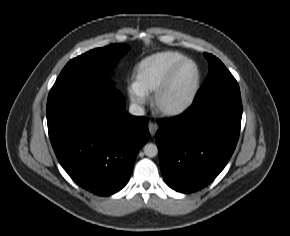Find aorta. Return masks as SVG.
<instances>
[{"label": "aorta", "mask_w": 290, "mask_h": 236, "mask_svg": "<svg viewBox=\"0 0 290 236\" xmlns=\"http://www.w3.org/2000/svg\"><path fill=\"white\" fill-rule=\"evenodd\" d=\"M144 153L148 157H155L158 154V148L155 144L153 143H147L144 146Z\"/></svg>", "instance_id": "1"}]
</instances>
